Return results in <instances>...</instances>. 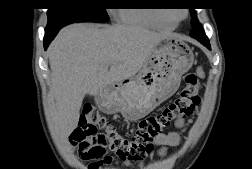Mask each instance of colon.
Returning <instances> with one entry per match:
<instances>
[{
    "mask_svg": "<svg viewBox=\"0 0 252 169\" xmlns=\"http://www.w3.org/2000/svg\"><path fill=\"white\" fill-rule=\"evenodd\" d=\"M200 89L197 75L187 73L179 95L157 114L142 119L132 136L122 134L102 113L85 105L71 142L80 156L90 162V169H101L113 161L107 150L123 161H141L151 153L153 140L173 122L193 113L200 102Z\"/></svg>",
    "mask_w": 252,
    "mask_h": 169,
    "instance_id": "colon-1",
    "label": "colon"
}]
</instances>
